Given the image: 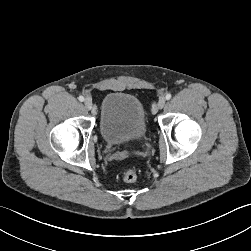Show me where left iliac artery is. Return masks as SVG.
Wrapping results in <instances>:
<instances>
[{"label":"left iliac artery","instance_id":"obj_1","mask_svg":"<svg viewBox=\"0 0 251 251\" xmlns=\"http://www.w3.org/2000/svg\"><path fill=\"white\" fill-rule=\"evenodd\" d=\"M171 97H172V95H171L170 93H168V94L166 95V99H167V100L171 99Z\"/></svg>","mask_w":251,"mask_h":251}]
</instances>
